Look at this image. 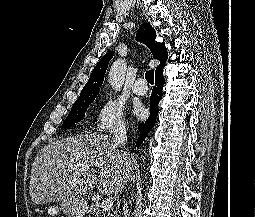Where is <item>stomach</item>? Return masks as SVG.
<instances>
[{
	"mask_svg": "<svg viewBox=\"0 0 255 217\" xmlns=\"http://www.w3.org/2000/svg\"><path fill=\"white\" fill-rule=\"evenodd\" d=\"M62 211L68 217H83L87 211V203L81 199L72 202H63L60 206L52 205L45 208L46 214L56 217Z\"/></svg>",
	"mask_w": 255,
	"mask_h": 217,
	"instance_id": "stomach-1",
	"label": "stomach"
}]
</instances>
